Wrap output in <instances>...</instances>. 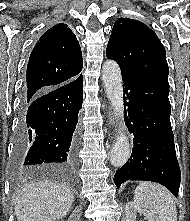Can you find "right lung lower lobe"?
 <instances>
[{"mask_svg": "<svg viewBox=\"0 0 190 221\" xmlns=\"http://www.w3.org/2000/svg\"><path fill=\"white\" fill-rule=\"evenodd\" d=\"M82 99V74L28 99L23 97L15 144L16 170L75 163Z\"/></svg>", "mask_w": 190, "mask_h": 221, "instance_id": "98d812e1", "label": "right lung lower lobe"}]
</instances>
